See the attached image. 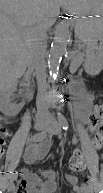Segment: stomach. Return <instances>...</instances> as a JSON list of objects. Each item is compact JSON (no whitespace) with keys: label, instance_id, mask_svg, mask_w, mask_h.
Masks as SVG:
<instances>
[{"label":"stomach","instance_id":"obj_1","mask_svg":"<svg viewBox=\"0 0 103 193\" xmlns=\"http://www.w3.org/2000/svg\"><path fill=\"white\" fill-rule=\"evenodd\" d=\"M72 11L71 13L76 16H86L92 17L91 19H86L85 22L89 24L91 21L98 20L103 12V0H71ZM77 34H79L84 43L90 44L88 51L91 50L92 38L89 35H84L91 30L90 26L82 27L78 26L76 28Z\"/></svg>","mask_w":103,"mask_h":193}]
</instances>
